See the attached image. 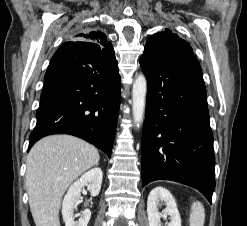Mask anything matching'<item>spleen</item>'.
I'll return each instance as SVG.
<instances>
[{"instance_id":"1","label":"spleen","mask_w":247,"mask_h":226,"mask_svg":"<svg viewBox=\"0 0 247 226\" xmlns=\"http://www.w3.org/2000/svg\"><path fill=\"white\" fill-rule=\"evenodd\" d=\"M205 221V210L203 205L196 201L191 206L190 226H203Z\"/></svg>"}]
</instances>
